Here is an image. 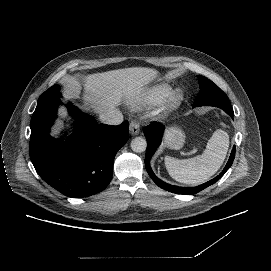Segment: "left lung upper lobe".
<instances>
[{
  "mask_svg": "<svg viewBox=\"0 0 271 271\" xmlns=\"http://www.w3.org/2000/svg\"><path fill=\"white\" fill-rule=\"evenodd\" d=\"M200 91L195 98L193 107L214 106L223 110H233L226 94L211 80L198 76Z\"/></svg>",
  "mask_w": 271,
  "mask_h": 271,
  "instance_id": "1",
  "label": "left lung upper lobe"
}]
</instances>
